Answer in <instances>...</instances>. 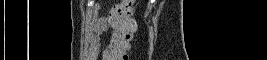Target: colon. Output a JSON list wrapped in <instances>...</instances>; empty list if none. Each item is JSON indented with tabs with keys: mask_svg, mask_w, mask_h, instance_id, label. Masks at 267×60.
<instances>
[{
	"mask_svg": "<svg viewBox=\"0 0 267 60\" xmlns=\"http://www.w3.org/2000/svg\"><path fill=\"white\" fill-rule=\"evenodd\" d=\"M134 10V1L125 0L113 13L110 22L114 29L109 45L102 52L104 60H129L132 37L137 29Z\"/></svg>",
	"mask_w": 267,
	"mask_h": 60,
	"instance_id": "obj_1",
	"label": "colon"
}]
</instances>
